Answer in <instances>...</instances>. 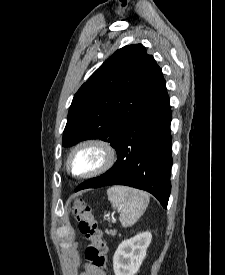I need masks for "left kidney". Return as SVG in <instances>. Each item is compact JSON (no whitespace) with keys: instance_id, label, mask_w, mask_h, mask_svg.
Instances as JSON below:
<instances>
[{"instance_id":"5707ae66","label":"left kidney","mask_w":225,"mask_h":275,"mask_svg":"<svg viewBox=\"0 0 225 275\" xmlns=\"http://www.w3.org/2000/svg\"><path fill=\"white\" fill-rule=\"evenodd\" d=\"M151 240L152 234L150 232H143L124 240L118 246L113 257L115 275H135L146 256Z\"/></svg>"}]
</instances>
